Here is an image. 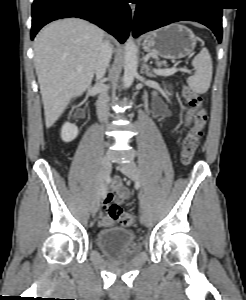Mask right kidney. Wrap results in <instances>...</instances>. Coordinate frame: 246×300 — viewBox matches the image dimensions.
Instances as JSON below:
<instances>
[{
  "mask_svg": "<svg viewBox=\"0 0 246 300\" xmlns=\"http://www.w3.org/2000/svg\"><path fill=\"white\" fill-rule=\"evenodd\" d=\"M78 135V128L74 124L65 123L61 129V138L64 142L73 141Z\"/></svg>",
  "mask_w": 246,
  "mask_h": 300,
  "instance_id": "right-kidney-1",
  "label": "right kidney"
}]
</instances>
